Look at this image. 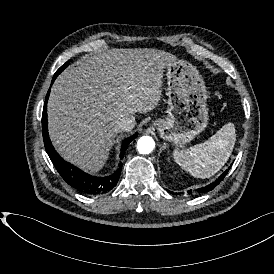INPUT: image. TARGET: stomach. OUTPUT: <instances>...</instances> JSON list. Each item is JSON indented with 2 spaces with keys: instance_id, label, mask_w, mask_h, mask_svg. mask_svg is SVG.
Wrapping results in <instances>:
<instances>
[{
  "instance_id": "0dacf381",
  "label": "stomach",
  "mask_w": 274,
  "mask_h": 274,
  "mask_svg": "<svg viewBox=\"0 0 274 274\" xmlns=\"http://www.w3.org/2000/svg\"><path fill=\"white\" fill-rule=\"evenodd\" d=\"M168 115L151 127L163 141L175 147L190 143L208 125L207 92L199 72L189 63L175 60L167 66Z\"/></svg>"
}]
</instances>
